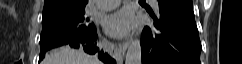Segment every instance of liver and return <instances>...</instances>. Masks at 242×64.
<instances>
[{"instance_id": "obj_1", "label": "liver", "mask_w": 242, "mask_h": 64, "mask_svg": "<svg viewBox=\"0 0 242 64\" xmlns=\"http://www.w3.org/2000/svg\"><path fill=\"white\" fill-rule=\"evenodd\" d=\"M42 64H101L94 56L87 55L82 50L62 47L50 52Z\"/></svg>"}]
</instances>
